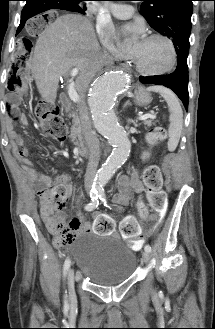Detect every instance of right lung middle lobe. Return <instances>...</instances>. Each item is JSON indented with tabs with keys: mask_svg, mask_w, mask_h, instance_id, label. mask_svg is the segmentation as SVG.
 Here are the masks:
<instances>
[{
	"mask_svg": "<svg viewBox=\"0 0 215 329\" xmlns=\"http://www.w3.org/2000/svg\"><path fill=\"white\" fill-rule=\"evenodd\" d=\"M76 12L86 11L85 0H65Z\"/></svg>",
	"mask_w": 215,
	"mask_h": 329,
	"instance_id": "obj_1",
	"label": "right lung middle lobe"
}]
</instances>
